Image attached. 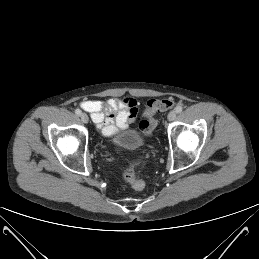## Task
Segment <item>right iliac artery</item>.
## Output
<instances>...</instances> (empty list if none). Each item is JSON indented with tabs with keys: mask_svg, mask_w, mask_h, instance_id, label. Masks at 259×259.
Listing matches in <instances>:
<instances>
[{
	"mask_svg": "<svg viewBox=\"0 0 259 259\" xmlns=\"http://www.w3.org/2000/svg\"><path fill=\"white\" fill-rule=\"evenodd\" d=\"M81 113H82V112H81V110H80V109H78V108H77V109L75 110V114H76V115L80 116V115H81Z\"/></svg>",
	"mask_w": 259,
	"mask_h": 259,
	"instance_id": "82829eb1",
	"label": "right iliac artery"
}]
</instances>
